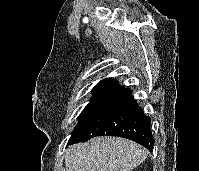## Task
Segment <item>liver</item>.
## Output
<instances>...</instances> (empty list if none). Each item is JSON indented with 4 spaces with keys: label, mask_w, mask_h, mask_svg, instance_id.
<instances>
[{
    "label": "liver",
    "mask_w": 199,
    "mask_h": 171,
    "mask_svg": "<svg viewBox=\"0 0 199 171\" xmlns=\"http://www.w3.org/2000/svg\"><path fill=\"white\" fill-rule=\"evenodd\" d=\"M140 144L119 137H96L69 147L65 171H131L147 157Z\"/></svg>",
    "instance_id": "1"
}]
</instances>
